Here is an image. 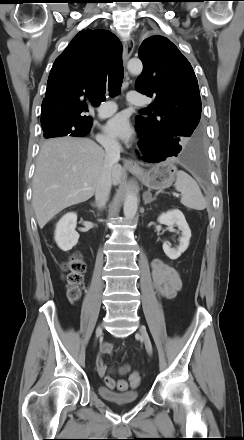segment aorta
Masks as SVG:
<instances>
[{
  "label": "aorta",
  "instance_id": "aorta-1",
  "mask_svg": "<svg viewBox=\"0 0 244 440\" xmlns=\"http://www.w3.org/2000/svg\"><path fill=\"white\" fill-rule=\"evenodd\" d=\"M127 69L130 73L138 75L142 72L143 69L142 62L138 59H131L127 64ZM137 208H138L137 195L134 192L129 191L126 194L124 201V207H123L124 216L127 219H133L136 215Z\"/></svg>",
  "mask_w": 244,
  "mask_h": 440
}]
</instances>
